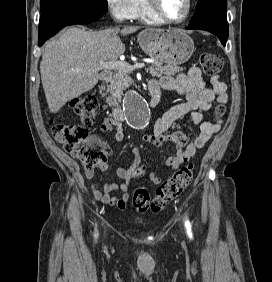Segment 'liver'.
<instances>
[{"instance_id":"liver-1","label":"liver","mask_w":272,"mask_h":282,"mask_svg":"<svg viewBox=\"0 0 272 282\" xmlns=\"http://www.w3.org/2000/svg\"><path fill=\"white\" fill-rule=\"evenodd\" d=\"M138 26L86 31L68 28L59 38L46 42L40 73L49 109L58 112L66 102L91 90L98 82L100 62L116 61L125 45L118 34L127 35Z\"/></svg>"}]
</instances>
